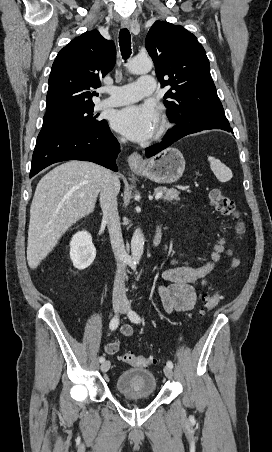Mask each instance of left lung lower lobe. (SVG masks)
<instances>
[{
    "label": "left lung lower lobe",
    "instance_id": "0a47b994",
    "mask_svg": "<svg viewBox=\"0 0 272 452\" xmlns=\"http://www.w3.org/2000/svg\"><path fill=\"white\" fill-rule=\"evenodd\" d=\"M209 129H221V130H225L227 132H231L233 133L232 128L229 126H224V127H210V126H206V127H190V126H186V127H182V126H175L172 130H169L168 133L164 136V141L160 144H156L153 146H150L148 148H146L145 152H146V156L152 157L155 154H157L158 152L162 151L163 149L167 148L168 146H170L171 144H173L174 142H176L177 140H179L180 138L192 134V133H196L202 130H209Z\"/></svg>",
    "mask_w": 272,
    "mask_h": 452
}]
</instances>
